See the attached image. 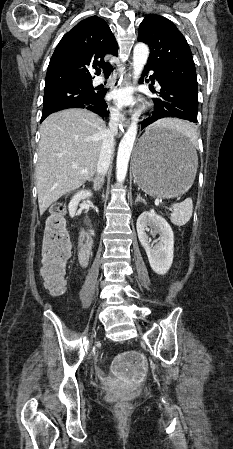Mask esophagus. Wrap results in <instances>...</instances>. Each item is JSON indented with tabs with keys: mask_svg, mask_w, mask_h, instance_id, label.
Returning <instances> with one entry per match:
<instances>
[{
	"mask_svg": "<svg viewBox=\"0 0 233 449\" xmlns=\"http://www.w3.org/2000/svg\"><path fill=\"white\" fill-rule=\"evenodd\" d=\"M132 75H133V73H132V65H130V67L127 70L126 76L124 78H121L122 86L131 84ZM121 122H122L124 127H127L129 125L130 121H129L128 118L122 116L121 117Z\"/></svg>",
	"mask_w": 233,
	"mask_h": 449,
	"instance_id": "esophagus-1",
	"label": "esophagus"
}]
</instances>
